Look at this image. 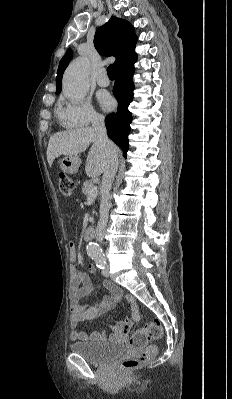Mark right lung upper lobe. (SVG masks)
Instances as JSON below:
<instances>
[{"label":"right lung upper lobe","instance_id":"right-lung-upper-lobe-1","mask_svg":"<svg viewBox=\"0 0 232 399\" xmlns=\"http://www.w3.org/2000/svg\"><path fill=\"white\" fill-rule=\"evenodd\" d=\"M136 41L137 37L133 26L128 21L114 16L106 24L99 27L94 36V46L99 54L116 58L115 69L136 58L134 51ZM72 56V50L68 49L59 63L56 76V94L61 91L62 76Z\"/></svg>","mask_w":232,"mask_h":399}]
</instances>
